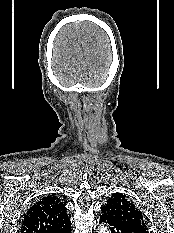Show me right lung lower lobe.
I'll list each match as a JSON object with an SVG mask.
<instances>
[{"label":"right lung lower lobe","mask_w":174,"mask_h":233,"mask_svg":"<svg viewBox=\"0 0 174 233\" xmlns=\"http://www.w3.org/2000/svg\"><path fill=\"white\" fill-rule=\"evenodd\" d=\"M70 227H71V224L65 228L54 231V233H71Z\"/></svg>","instance_id":"98d812e1"}]
</instances>
